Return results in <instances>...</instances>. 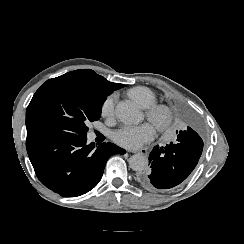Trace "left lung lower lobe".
I'll use <instances>...</instances> for the list:
<instances>
[{
    "instance_id": "obj_1",
    "label": "left lung lower lobe",
    "mask_w": 244,
    "mask_h": 244,
    "mask_svg": "<svg viewBox=\"0 0 244 244\" xmlns=\"http://www.w3.org/2000/svg\"><path fill=\"white\" fill-rule=\"evenodd\" d=\"M200 125L190 115L182 116L177 140L165 147L156 145L149 155V170L138 175L146 188L169 189L183 182L197 165L203 150Z\"/></svg>"
}]
</instances>
